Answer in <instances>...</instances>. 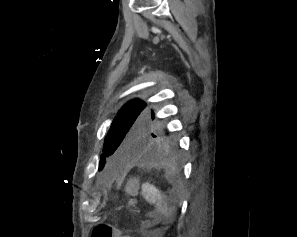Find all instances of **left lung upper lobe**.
Wrapping results in <instances>:
<instances>
[{"label": "left lung upper lobe", "instance_id": "left-lung-upper-lobe-1", "mask_svg": "<svg viewBox=\"0 0 297 237\" xmlns=\"http://www.w3.org/2000/svg\"><path fill=\"white\" fill-rule=\"evenodd\" d=\"M146 103L139 99L128 102L113 120L105 138L99 170L106 159H133L147 155L153 143L161 135L157 125L150 123V114ZM151 119H154L153 113Z\"/></svg>", "mask_w": 297, "mask_h": 237}]
</instances>
